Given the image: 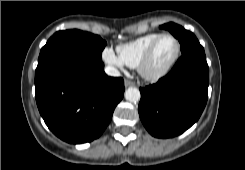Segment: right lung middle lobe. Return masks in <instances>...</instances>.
I'll list each match as a JSON object with an SVG mask.
<instances>
[{
  "label": "right lung middle lobe",
  "mask_w": 245,
  "mask_h": 170,
  "mask_svg": "<svg viewBox=\"0 0 245 170\" xmlns=\"http://www.w3.org/2000/svg\"><path fill=\"white\" fill-rule=\"evenodd\" d=\"M106 42L100 36L80 30L56 32L41 49L35 76L58 60L67 57H82L102 60Z\"/></svg>",
  "instance_id": "obj_1"
}]
</instances>
